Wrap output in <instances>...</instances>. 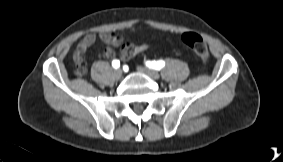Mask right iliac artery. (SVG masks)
<instances>
[{
	"label": "right iliac artery",
	"mask_w": 283,
	"mask_h": 162,
	"mask_svg": "<svg viewBox=\"0 0 283 162\" xmlns=\"http://www.w3.org/2000/svg\"><path fill=\"white\" fill-rule=\"evenodd\" d=\"M112 66H113L114 68H118V67L120 66L119 60H117V59L113 60V61H112Z\"/></svg>",
	"instance_id": "obj_1"
}]
</instances>
